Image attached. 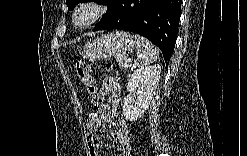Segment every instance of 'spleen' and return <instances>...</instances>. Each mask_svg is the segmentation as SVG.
<instances>
[{"mask_svg":"<svg viewBox=\"0 0 247 156\" xmlns=\"http://www.w3.org/2000/svg\"><path fill=\"white\" fill-rule=\"evenodd\" d=\"M137 44V61L141 65H148L157 61L159 57V52L157 47H155L148 39L140 36H134Z\"/></svg>","mask_w":247,"mask_h":156,"instance_id":"spleen-1","label":"spleen"}]
</instances>
